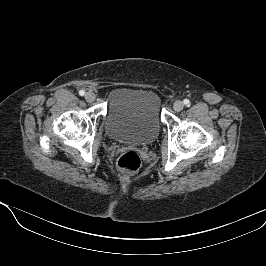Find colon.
<instances>
[{
    "mask_svg": "<svg viewBox=\"0 0 266 266\" xmlns=\"http://www.w3.org/2000/svg\"><path fill=\"white\" fill-rule=\"evenodd\" d=\"M117 166L124 173H134L141 166V158L136 151L128 150L118 158Z\"/></svg>",
    "mask_w": 266,
    "mask_h": 266,
    "instance_id": "5ec220e1",
    "label": "colon"
}]
</instances>
